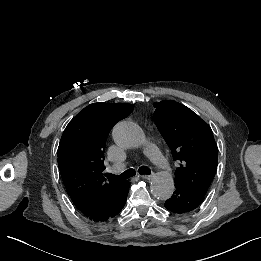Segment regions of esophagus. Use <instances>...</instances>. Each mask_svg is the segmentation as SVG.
Masks as SVG:
<instances>
[{
	"label": "esophagus",
	"instance_id": "34e87169",
	"mask_svg": "<svg viewBox=\"0 0 261 261\" xmlns=\"http://www.w3.org/2000/svg\"><path fill=\"white\" fill-rule=\"evenodd\" d=\"M141 177L143 179H146V180H152L153 179V175H142Z\"/></svg>",
	"mask_w": 261,
	"mask_h": 261
}]
</instances>
